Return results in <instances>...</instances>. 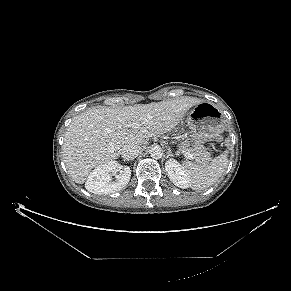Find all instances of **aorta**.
Listing matches in <instances>:
<instances>
[{
  "mask_svg": "<svg viewBox=\"0 0 291 291\" xmlns=\"http://www.w3.org/2000/svg\"><path fill=\"white\" fill-rule=\"evenodd\" d=\"M150 155L154 159H160L163 156V150L159 145H154L150 149Z\"/></svg>",
  "mask_w": 291,
  "mask_h": 291,
  "instance_id": "obj_1",
  "label": "aorta"
}]
</instances>
